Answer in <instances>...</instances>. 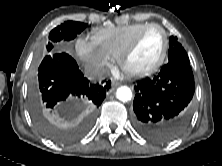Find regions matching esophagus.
<instances>
[{
    "mask_svg": "<svg viewBox=\"0 0 222 166\" xmlns=\"http://www.w3.org/2000/svg\"><path fill=\"white\" fill-rule=\"evenodd\" d=\"M120 85H121V83L118 82V81H113V82H112L113 88H117V87H119Z\"/></svg>",
    "mask_w": 222,
    "mask_h": 166,
    "instance_id": "esophagus-1",
    "label": "esophagus"
}]
</instances>
